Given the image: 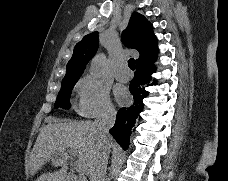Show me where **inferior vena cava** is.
Wrapping results in <instances>:
<instances>
[{
	"instance_id": "602c4592",
	"label": "inferior vena cava",
	"mask_w": 228,
	"mask_h": 181,
	"mask_svg": "<svg viewBox=\"0 0 228 181\" xmlns=\"http://www.w3.org/2000/svg\"><path fill=\"white\" fill-rule=\"evenodd\" d=\"M116 119V111L112 105H105L99 111L95 121L94 129L102 145L95 153L90 165V181H106V169L110 155V145L107 141L109 129H112Z\"/></svg>"
}]
</instances>
